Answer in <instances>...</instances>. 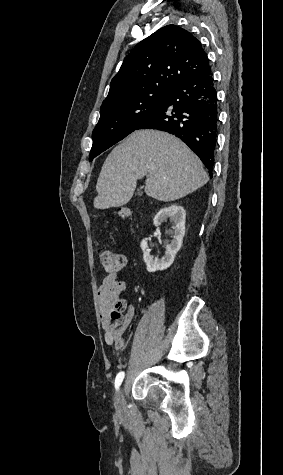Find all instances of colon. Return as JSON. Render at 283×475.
I'll list each match as a JSON object with an SVG mask.
<instances>
[{
  "label": "colon",
  "mask_w": 283,
  "mask_h": 475,
  "mask_svg": "<svg viewBox=\"0 0 283 475\" xmlns=\"http://www.w3.org/2000/svg\"><path fill=\"white\" fill-rule=\"evenodd\" d=\"M130 211L127 207H122L120 209V215L128 216ZM99 259L105 268L106 272L110 275L116 276L119 275L125 265L124 255L120 252L107 250L102 248L99 253ZM120 301V309H123L124 313L126 311V303L122 300Z\"/></svg>",
  "instance_id": "obj_1"
}]
</instances>
